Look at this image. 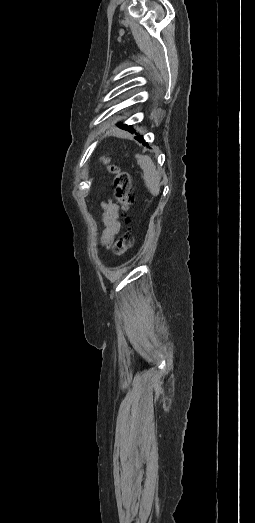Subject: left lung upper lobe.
<instances>
[{
	"mask_svg": "<svg viewBox=\"0 0 255 523\" xmlns=\"http://www.w3.org/2000/svg\"><path fill=\"white\" fill-rule=\"evenodd\" d=\"M117 126L120 127L121 129L127 130L131 133L135 132V130L132 128V126H127L126 124H117ZM146 130H149V127H146ZM136 137H140V136H136ZM139 141L142 142L143 140H139Z\"/></svg>",
	"mask_w": 255,
	"mask_h": 523,
	"instance_id": "5c2ea615",
	"label": "left lung upper lobe"
}]
</instances>
